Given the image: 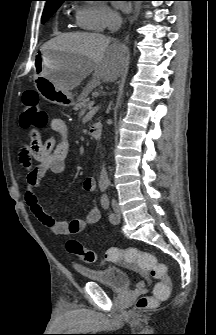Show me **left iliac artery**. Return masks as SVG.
<instances>
[{"label":"left iliac artery","mask_w":216,"mask_h":335,"mask_svg":"<svg viewBox=\"0 0 216 335\" xmlns=\"http://www.w3.org/2000/svg\"><path fill=\"white\" fill-rule=\"evenodd\" d=\"M102 207L108 211V218L110 222H114L116 220V215L110 211V201L108 196L105 194L101 198Z\"/></svg>","instance_id":"obj_1"}]
</instances>
